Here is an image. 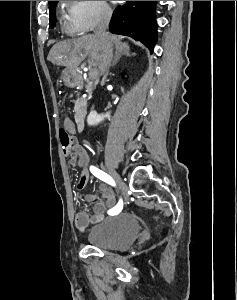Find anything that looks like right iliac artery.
I'll list each match as a JSON object with an SVG mask.
<instances>
[{
  "label": "right iliac artery",
  "instance_id": "1",
  "mask_svg": "<svg viewBox=\"0 0 237 300\" xmlns=\"http://www.w3.org/2000/svg\"><path fill=\"white\" fill-rule=\"evenodd\" d=\"M90 171L94 176H96L100 180L106 182L107 184H109L111 186H116L113 178L111 176H109L107 173L103 172L102 170L96 168L95 166H90ZM122 208H123V201L120 200L118 202V204L114 208L111 209V211L119 210Z\"/></svg>",
  "mask_w": 237,
  "mask_h": 300
}]
</instances>
